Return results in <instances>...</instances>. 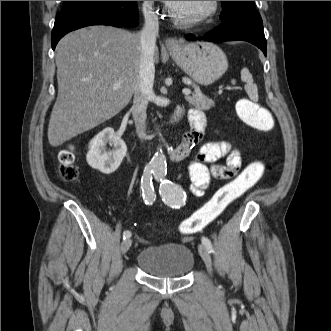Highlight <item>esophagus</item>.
<instances>
[{
	"label": "esophagus",
	"mask_w": 331,
	"mask_h": 331,
	"mask_svg": "<svg viewBox=\"0 0 331 331\" xmlns=\"http://www.w3.org/2000/svg\"><path fill=\"white\" fill-rule=\"evenodd\" d=\"M166 45L169 49L174 50L178 46V41L173 38H167Z\"/></svg>",
	"instance_id": "obj_1"
}]
</instances>
